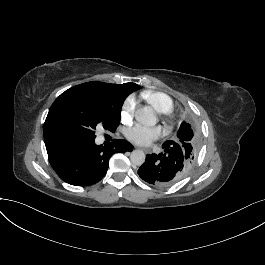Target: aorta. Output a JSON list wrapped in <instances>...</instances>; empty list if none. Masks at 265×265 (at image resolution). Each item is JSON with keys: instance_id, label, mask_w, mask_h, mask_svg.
<instances>
[{"instance_id": "1", "label": "aorta", "mask_w": 265, "mask_h": 265, "mask_svg": "<svg viewBox=\"0 0 265 265\" xmlns=\"http://www.w3.org/2000/svg\"><path fill=\"white\" fill-rule=\"evenodd\" d=\"M136 120L143 125L152 126L156 123V117L151 107L140 108L136 112ZM145 154L141 150H134L130 155L131 162L134 165L141 166L145 162Z\"/></svg>"}]
</instances>
